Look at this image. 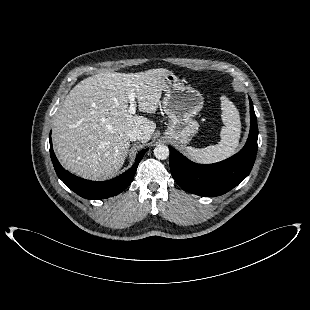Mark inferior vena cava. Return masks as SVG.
Instances as JSON below:
<instances>
[{"label": "inferior vena cava", "mask_w": 310, "mask_h": 310, "mask_svg": "<svg viewBox=\"0 0 310 310\" xmlns=\"http://www.w3.org/2000/svg\"><path fill=\"white\" fill-rule=\"evenodd\" d=\"M128 137L130 141H137L141 140L142 135L141 132H139L138 130H132L131 132L128 133Z\"/></svg>", "instance_id": "obj_1"}]
</instances>
